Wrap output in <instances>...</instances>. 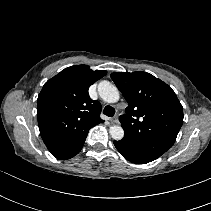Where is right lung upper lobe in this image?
Listing matches in <instances>:
<instances>
[{
    "label": "right lung upper lobe",
    "instance_id": "right-lung-upper-lobe-1",
    "mask_svg": "<svg viewBox=\"0 0 211 211\" xmlns=\"http://www.w3.org/2000/svg\"><path fill=\"white\" fill-rule=\"evenodd\" d=\"M87 65L68 67L48 80L37 100L41 137L58 159H70L83 146L89 129L104 122L101 105L88 94L89 87L106 75Z\"/></svg>",
    "mask_w": 211,
    "mask_h": 211
}]
</instances>
